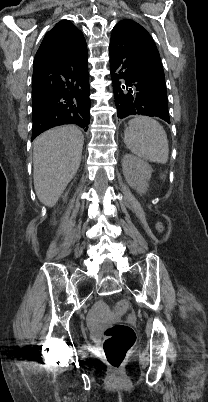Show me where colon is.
I'll return each instance as SVG.
<instances>
[{
	"label": "colon",
	"mask_w": 208,
	"mask_h": 402,
	"mask_svg": "<svg viewBox=\"0 0 208 402\" xmlns=\"http://www.w3.org/2000/svg\"><path fill=\"white\" fill-rule=\"evenodd\" d=\"M156 226L160 231L165 230V222L158 220ZM118 308L128 310L126 304L118 305ZM138 332L132 329V320H127V324H108L104 332L103 350L107 361L112 365H120L129 351L133 339L136 338ZM118 370V367H115Z\"/></svg>",
	"instance_id": "obj_1"
}]
</instances>
